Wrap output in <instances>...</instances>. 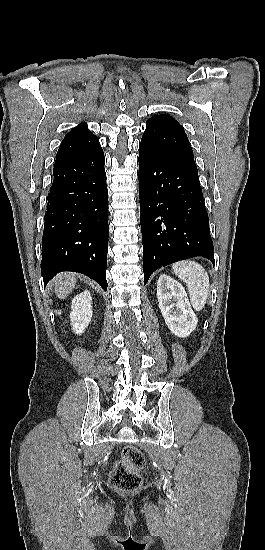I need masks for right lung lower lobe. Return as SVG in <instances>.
Masks as SVG:
<instances>
[{"instance_id": "1", "label": "right lung lower lobe", "mask_w": 265, "mask_h": 550, "mask_svg": "<svg viewBox=\"0 0 265 550\" xmlns=\"http://www.w3.org/2000/svg\"><path fill=\"white\" fill-rule=\"evenodd\" d=\"M104 153L55 163L42 238L41 269L47 284L74 271L107 290L108 190Z\"/></svg>"}]
</instances>
